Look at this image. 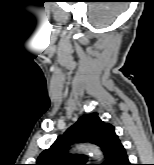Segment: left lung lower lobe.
Listing matches in <instances>:
<instances>
[{"label":"left lung lower lobe","instance_id":"0a47b994","mask_svg":"<svg viewBox=\"0 0 154 165\" xmlns=\"http://www.w3.org/2000/svg\"><path fill=\"white\" fill-rule=\"evenodd\" d=\"M113 165H131L124 147H121V149L119 150Z\"/></svg>","mask_w":154,"mask_h":165}]
</instances>
